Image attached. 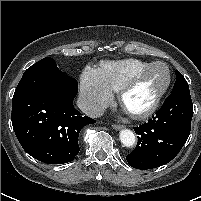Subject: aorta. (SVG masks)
<instances>
[{"mask_svg":"<svg viewBox=\"0 0 201 201\" xmlns=\"http://www.w3.org/2000/svg\"><path fill=\"white\" fill-rule=\"evenodd\" d=\"M120 141L126 147H131L135 144L136 137L134 133L129 129H123L119 135Z\"/></svg>","mask_w":201,"mask_h":201,"instance_id":"obj_1","label":"aorta"}]
</instances>
